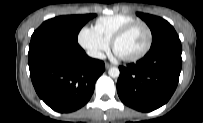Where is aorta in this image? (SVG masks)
<instances>
[{"instance_id":"obj_1","label":"aorta","mask_w":203,"mask_h":123,"mask_svg":"<svg viewBox=\"0 0 203 123\" xmlns=\"http://www.w3.org/2000/svg\"><path fill=\"white\" fill-rule=\"evenodd\" d=\"M108 74L112 78H117L119 77L120 71L117 67H112L108 70Z\"/></svg>"}]
</instances>
